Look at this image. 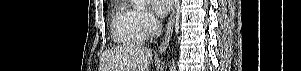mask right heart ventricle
I'll list each match as a JSON object with an SVG mask.
<instances>
[{"label": "right heart ventricle", "mask_w": 301, "mask_h": 71, "mask_svg": "<svg viewBox=\"0 0 301 71\" xmlns=\"http://www.w3.org/2000/svg\"><path fill=\"white\" fill-rule=\"evenodd\" d=\"M111 32L114 41L121 45L142 44L147 37L139 22V11L126 1L114 8Z\"/></svg>", "instance_id": "obj_1"}]
</instances>
